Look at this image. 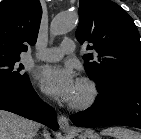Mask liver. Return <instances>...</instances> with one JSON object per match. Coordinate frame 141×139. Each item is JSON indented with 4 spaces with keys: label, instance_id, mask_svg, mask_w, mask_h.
I'll return each mask as SVG.
<instances>
[{
    "label": "liver",
    "instance_id": "liver-1",
    "mask_svg": "<svg viewBox=\"0 0 141 139\" xmlns=\"http://www.w3.org/2000/svg\"><path fill=\"white\" fill-rule=\"evenodd\" d=\"M39 128L37 122L0 110V139H33ZM44 136L50 139L49 133L45 132Z\"/></svg>",
    "mask_w": 141,
    "mask_h": 139
}]
</instances>
